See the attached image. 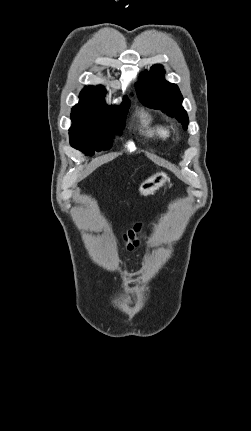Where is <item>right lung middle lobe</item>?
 <instances>
[{"instance_id":"1","label":"right lung middle lobe","mask_w":251,"mask_h":431,"mask_svg":"<svg viewBox=\"0 0 251 431\" xmlns=\"http://www.w3.org/2000/svg\"><path fill=\"white\" fill-rule=\"evenodd\" d=\"M129 105V99L124 100L119 111L108 107L103 96L80 94V102L71 112V146L90 155L95 150L109 149L114 134L124 128ZM116 111L119 113L114 114Z\"/></svg>"}]
</instances>
